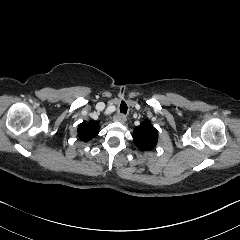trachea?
Returning <instances> with one entry per match:
<instances>
[{"mask_svg":"<svg viewBox=\"0 0 240 240\" xmlns=\"http://www.w3.org/2000/svg\"><path fill=\"white\" fill-rule=\"evenodd\" d=\"M120 113L124 115L127 113V105L124 101L121 102Z\"/></svg>","mask_w":240,"mask_h":240,"instance_id":"obj_1","label":"trachea"}]
</instances>
